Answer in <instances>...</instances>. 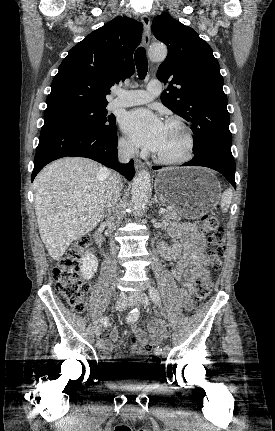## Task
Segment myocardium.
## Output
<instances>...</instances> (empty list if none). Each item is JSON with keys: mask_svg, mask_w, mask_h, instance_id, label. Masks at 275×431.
I'll use <instances>...</instances> for the list:
<instances>
[{"mask_svg": "<svg viewBox=\"0 0 275 431\" xmlns=\"http://www.w3.org/2000/svg\"><path fill=\"white\" fill-rule=\"evenodd\" d=\"M166 123L176 124L182 129V131L184 132L185 138H186V150L181 157L175 158V159L163 158L156 153L153 155V158L157 163H159L161 165H165V166L183 165V164L189 162L194 156V152H195L194 133H193L192 129L190 128V126L179 116L169 117L167 119Z\"/></svg>", "mask_w": 275, "mask_h": 431, "instance_id": "f54148a6", "label": "myocardium"}]
</instances>
